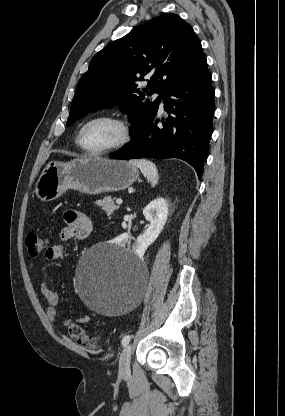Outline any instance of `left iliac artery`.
I'll use <instances>...</instances> for the list:
<instances>
[{
	"label": "left iliac artery",
	"mask_w": 285,
	"mask_h": 416,
	"mask_svg": "<svg viewBox=\"0 0 285 416\" xmlns=\"http://www.w3.org/2000/svg\"><path fill=\"white\" fill-rule=\"evenodd\" d=\"M131 340V336L130 335H126L125 337H123L121 343L123 346H126Z\"/></svg>",
	"instance_id": "left-iliac-artery-1"
}]
</instances>
